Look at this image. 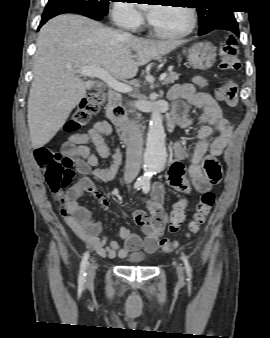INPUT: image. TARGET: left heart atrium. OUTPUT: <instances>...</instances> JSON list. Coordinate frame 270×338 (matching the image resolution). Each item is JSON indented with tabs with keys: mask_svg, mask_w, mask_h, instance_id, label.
I'll return each mask as SVG.
<instances>
[{
	"mask_svg": "<svg viewBox=\"0 0 270 338\" xmlns=\"http://www.w3.org/2000/svg\"><path fill=\"white\" fill-rule=\"evenodd\" d=\"M149 17L152 19V17H153V12H151V13L149 14Z\"/></svg>",
	"mask_w": 270,
	"mask_h": 338,
	"instance_id": "obj_1",
	"label": "left heart atrium"
}]
</instances>
